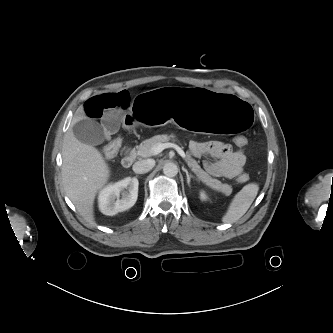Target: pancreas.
<instances>
[{
  "mask_svg": "<svg viewBox=\"0 0 333 333\" xmlns=\"http://www.w3.org/2000/svg\"><path fill=\"white\" fill-rule=\"evenodd\" d=\"M170 140H175L173 135H156L150 139L143 141L139 146L136 147V154L141 157H149L153 155L152 148L158 143H165ZM187 163L191 170L196 174L198 179L205 183L210 188L222 192L225 195L232 193V188L228 184H223L217 179H213L207 172H205L190 154L187 155Z\"/></svg>",
  "mask_w": 333,
  "mask_h": 333,
  "instance_id": "1",
  "label": "pancreas"
}]
</instances>
